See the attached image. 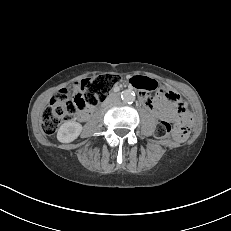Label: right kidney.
Instances as JSON below:
<instances>
[{"label": "right kidney", "instance_id": "right-kidney-1", "mask_svg": "<svg viewBox=\"0 0 231 231\" xmlns=\"http://www.w3.org/2000/svg\"><path fill=\"white\" fill-rule=\"evenodd\" d=\"M82 125L75 121L64 122L57 133V139L62 143L74 141L81 133Z\"/></svg>", "mask_w": 231, "mask_h": 231}]
</instances>
